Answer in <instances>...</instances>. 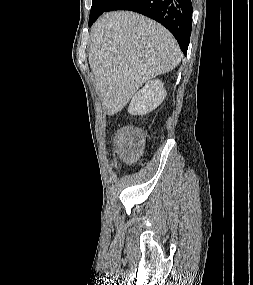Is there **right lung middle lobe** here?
I'll list each match as a JSON object with an SVG mask.
<instances>
[{
	"instance_id": "right-lung-middle-lobe-1",
	"label": "right lung middle lobe",
	"mask_w": 253,
	"mask_h": 285,
	"mask_svg": "<svg viewBox=\"0 0 253 285\" xmlns=\"http://www.w3.org/2000/svg\"><path fill=\"white\" fill-rule=\"evenodd\" d=\"M113 0H92L89 22L97 19Z\"/></svg>"
}]
</instances>
